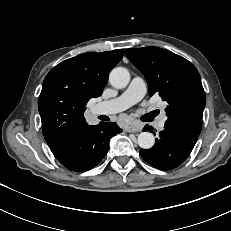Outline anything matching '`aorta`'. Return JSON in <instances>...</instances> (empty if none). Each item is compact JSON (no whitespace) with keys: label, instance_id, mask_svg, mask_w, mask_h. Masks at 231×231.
<instances>
[{"label":"aorta","instance_id":"obj_1","mask_svg":"<svg viewBox=\"0 0 231 231\" xmlns=\"http://www.w3.org/2000/svg\"><path fill=\"white\" fill-rule=\"evenodd\" d=\"M109 82L115 88H125L130 82V73L124 67H116L109 74ZM137 141L141 148L150 149L155 143V138L152 133L145 131L138 135Z\"/></svg>","mask_w":231,"mask_h":231}]
</instances>
